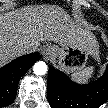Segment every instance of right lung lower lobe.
Segmentation results:
<instances>
[{"label": "right lung lower lobe", "instance_id": "right-lung-lower-lobe-1", "mask_svg": "<svg viewBox=\"0 0 108 108\" xmlns=\"http://www.w3.org/2000/svg\"><path fill=\"white\" fill-rule=\"evenodd\" d=\"M39 58V53H32L19 57L6 66L0 72V94L3 105L9 104L13 101L17 92V85L20 77L36 62ZM0 100V101H1Z\"/></svg>", "mask_w": 108, "mask_h": 108}]
</instances>
